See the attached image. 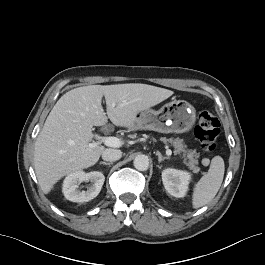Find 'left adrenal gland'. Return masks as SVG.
I'll return each mask as SVG.
<instances>
[{"instance_id": "1", "label": "left adrenal gland", "mask_w": 265, "mask_h": 265, "mask_svg": "<svg viewBox=\"0 0 265 265\" xmlns=\"http://www.w3.org/2000/svg\"><path fill=\"white\" fill-rule=\"evenodd\" d=\"M156 155L158 156V162L161 163L162 161L166 160V159H170L169 157H163L162 154L157 151Z\"/></svg>"}]
</instances>
